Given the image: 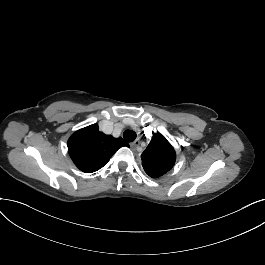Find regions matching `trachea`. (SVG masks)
I'll return each instance as SVG.
<instances>
[{
    "mask_svg": "<svg viewBox=\"0 0 265 265\" xmlns=\"http://www.w3.org/2000/svg\"><path fill=\"white\" fill-rule=\"evenodd\" d=\"M123 137L127 142H132L136 138V133L132 130H126Z\"/></svg>",
    "mask_w": 265,
    "mask_h": 265,
    "instance_id": "1",
    "label": "trachea"
}]
</instances>
